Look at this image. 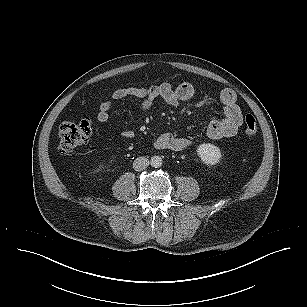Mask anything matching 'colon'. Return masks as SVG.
I'll return each mask as SVG.
<instances>
[{
  "instance_id": "5ec220e1",
  "label": "colon",
  "mask_w": 307,
  "mask_h": 307,
  "mask_svg": "<svg viewBox=\"0 0 307 307\" xmlns=\"http://www.w3.org/2000/svg\"><path fill=\"white\" fill-rule=\"evenodd\" d=\"M244 130L248 136H255L258 132L257 121L251 114L244 118ZM91 133L92 123L89 119L64 122L59 130V151L63 154L74 151L89 140Z\"/></svg>"
}]
</instances>
